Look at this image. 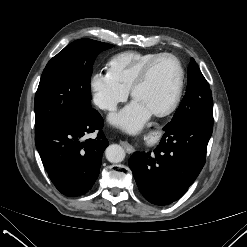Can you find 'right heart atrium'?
<instances>
[{
  "label": "right heart atrium",
  "instance_id": "obj_1",
  "mask_svg": "<svg viewBox=\"0 0 247 247\" xmlns=\"http://www.w3.org/2000/svg\"><path fill=\"white\" fill-rule=\"evenodd\" d=\"M93 103L103 111H114L128 96V90L120 85L109 71H96L89 80Z\"/></svg>",
  "mask_w": 247,
  "mask_h": 247
}]
</instances>
